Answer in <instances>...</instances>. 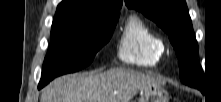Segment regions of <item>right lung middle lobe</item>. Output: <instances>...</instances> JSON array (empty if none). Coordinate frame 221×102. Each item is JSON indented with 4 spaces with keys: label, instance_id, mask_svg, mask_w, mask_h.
<instances>
[{
    "label": "right lung middle lobe",
    "instance_id": "obj_1",
    "mask_svg": "<svg viewBox=\"0 0 221 102\" xmlns=\"http://www.w3.org/2000/svg\"><path fill=\"white\" fill-rule=\"evenodd\" d=\"M119 15H55L39 84L88 66L110 40Z\"/></svg>",
    "mask_w": 221,
    "mask_h": 102
}]
</instances>
